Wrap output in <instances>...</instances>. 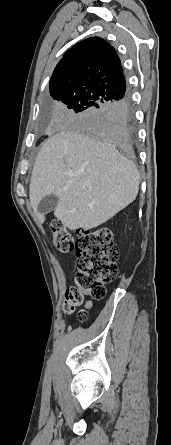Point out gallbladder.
<instances>
[{
    "instance_id": "1",
    "label": "gallbladder",
    "mask_w": 171,
    "mask_h": 445,
    "mask_svg": "<svg viewBox=\"0 0 171 445\" xmlns=\"http://www.w3.org/2000/svg\"><path fill=\"white\" fill-rule=\"evenodd\" d=\"M59 202L57 196L50 194L41 199L38 204V212L40 214H47L54 210Z\"/></svg>"
}]
</instances>
